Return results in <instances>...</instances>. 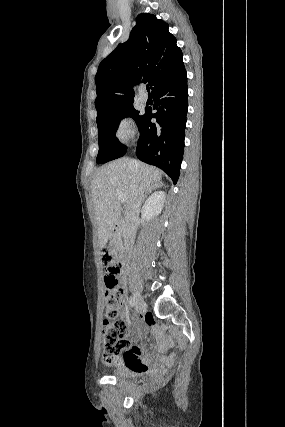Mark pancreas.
I'll return each mask as SVG.
<instances>
[{"label":"pancreas","mask_w":285,"mask_h":427,"mask_svg":"<svg viewBox=\"0 0 285 427\" xmlns=\"http://www.w3.org/2000/svg\"><path fill=\"white\" fill-rule=\"evenodd\" d=\"M111 244L116 246V247H121L122 245V240H121V234L120 233H115L111 239Z\"/></svg>","instance_id":"obj_1"}]
</instances>
